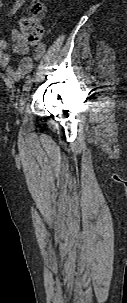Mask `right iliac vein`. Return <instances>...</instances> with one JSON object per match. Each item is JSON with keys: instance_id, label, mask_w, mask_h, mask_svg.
Returning <instances> with one entry per match:
<instances>
[{"instance_id": "right-iliac-vein-1", "label": "right iliac vein", "mask_w": 127, "mask_h": 303, "mask_svg": "<svg viewBox=\"0 0 127 303\" xmlns=\"http://www.w3.org/2000/svg\"><path fill=\"white\" fill-rule=\"evenodd\" d=\"M29 90H30V88L28 89V90H26V92L24 93V95H23V97H22V100H21V110L23 109V106H24V104H25V102H26V100H27V97H28V95H29Z\"/></svg>"}]
</instances>
